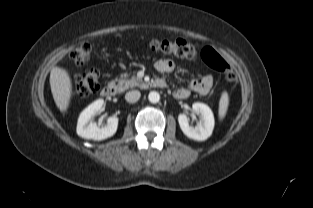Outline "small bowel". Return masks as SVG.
<instances>
[{
  "label": "small bowel",
  "mask_w": 313,
  "mask_h": 208,
  "mask_svg": "<svg viewBox=\"0 0 313 208\" xmlns=\"http://www.w3.org/2000/svg\"><path fill=\"white\" fill-rule=\"evenodd\" d=\"M155 68L159 73L169 74L174 70V63L169 59H160L155 63ZM213 85V79L210 75L192 79L189 86L179 88L174 91V97L177 99H186L191 93L206 95L209 93Z\"/></svg>",
  "instance_id": "c3829d8e"
}]
</instances>
